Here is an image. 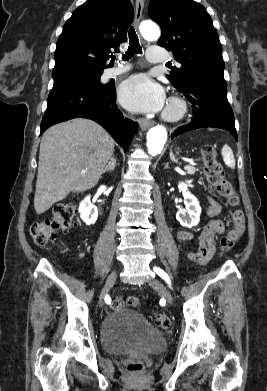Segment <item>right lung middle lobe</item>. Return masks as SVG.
Returning a JSON list of instances; mask_svg holds the SVG:
<instances>
[{
  "mask_svg": "<svg viewBox=\"0 0 267 391\" xmlns=\"http://www.w3.org/2000/svg\"><path fill=\"white\" fill-rule=\"evenodd\" d=\"M102 73L103 72L72 73L53 77L54 84L52 90L73 85L103 87L105 84L100 82V76Z\"/></svg>",
  "mask_w": 267,
  "mask_h": 391,
  "instance_id": "1",
  "label": "right lung middle lobe"
}]
</instances>
